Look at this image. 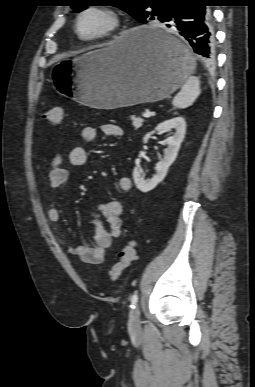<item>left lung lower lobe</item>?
Returning a JSON list of instances; mask_svg holds the SVG:
<instances>
[{
  "instance_id": "left-lung-lower-lobe-1",
  "label": "left lung lower lobe",
  "mask_w": 255,
  "mask_h": 387,
  "mask_svg": "<svg viewBox=\"0 0 255 387\" xmlns=\"http://www.w3.org/2000/svg\"><path fill=\"white\" fill-rule=\"evenodd\" d=\"M213 3L212 0H178L169 5L166 15L160 20L167 27L176 26L179 34L206 63H212L215 59L212 15L208 8ZM142 39L168 57L179 55L180 48L164 31L146 32Z\"/></svg>"
}]
</instances>
